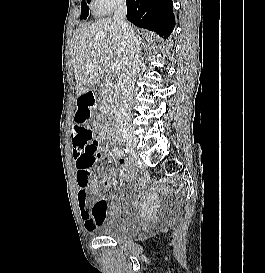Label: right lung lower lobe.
I'll return each mask as SVG.
<instances>
[{"instance_id": "right-lung-lower-lobe-1", "label": "right lung lower lobe", "mask_w": 265, "mask_h": 273, "mask_svg": "<svg viewBox=\"0 0 265 273\" xmlns=\"http://www.w3.org/2000/svg\"><path fill=\"white\" fill-rule=\"evenodd\" d=\"M127 19L167 38L174 29L172 0H126Z\"/></svg>"}]
</instances>
